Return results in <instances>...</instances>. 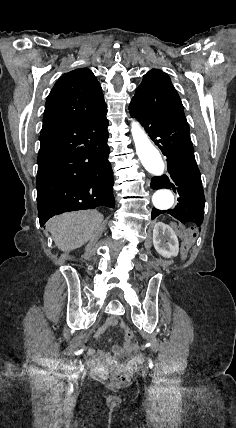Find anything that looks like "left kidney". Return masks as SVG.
<instances>
[{
  "mask_svg": "<svg viewBox=\"0 0 236 428\" xmlns=\"http://www.w3.org/2000/svg\"><path fill=\"white\" fill-rule=\"evenodd\" d=\"M153 244L158 254L164 256V258H172V256H178L179 244L177 236L167 224L163 222H157L153 228Z\"/></svg>",
  "mask_w": 236,
  "mask_h": 428,
  "instance_id": "obj_1",
  "label": "left kidney"
}]
</instances>
